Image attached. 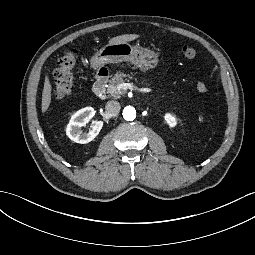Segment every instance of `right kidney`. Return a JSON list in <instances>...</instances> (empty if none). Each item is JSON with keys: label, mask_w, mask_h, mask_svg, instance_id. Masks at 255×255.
I'll list each match as a JSON object with an SVG mask.
<instances>
[{"label": "right kidney", "mask_w": 255, "mask_h": 255, "mask_svg": "<svg viewBox=\"0 0 255 255\" xmlns=\"http://www.w3.org/2000/svg\"><path fill=\"white\" fill-rule=\"evenodd\" d=\"M94 114L92 107H85L74 113L66 128L67 136L74 142L81 144L92 141L100 132L103 122L96 121L88 133H83L81 127L85 126Z\"/></svg>", "instance_id": "obj_1"}]
</instances>
